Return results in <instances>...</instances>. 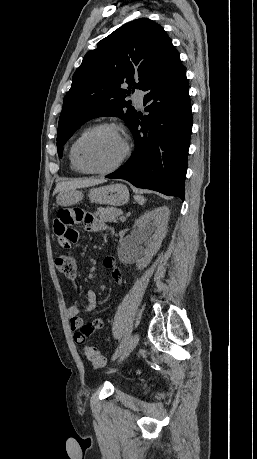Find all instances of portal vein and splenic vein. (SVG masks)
I'll use <instances>...</instances> for the list:
<instances>
[{"instance_id": "portal-vein-and-splenic-vein-1", "label": "portal vein and splenic vein", "mask_w": 257, "mask_h": 459, "mask_svg": "<svg viewBox=\"0 0 257 459\" xmlns=\"http://www.w3.org/2000/svg\"><path fill=\"white\" fill-rule=\"evenodd\" d=\"M121 214H122V213H121ZM120 219H121V220H125V218H124V217H120Z\"/></svg>"}]
</instances>
